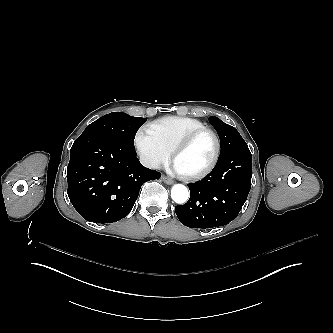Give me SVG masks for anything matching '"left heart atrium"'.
<instances>
[{
    "mask_svg": "<svg viewBox=\"0 0 333 333\" xmlns=\"http://www.w3.org/2000/svg\"><path fill=\"white\" fill-rule=\"evenodd\" d=\"M168 172L173 176H183L182 171L173 163H170L168 166Z\"/></svg>",
    "mask_w": 333,
    "mask_h": 333,
    "instance_id": "obj_1",
    "label": "left heart atrium"
}]
</instances>
